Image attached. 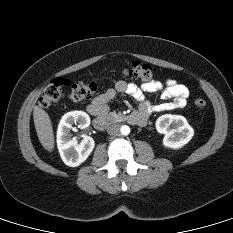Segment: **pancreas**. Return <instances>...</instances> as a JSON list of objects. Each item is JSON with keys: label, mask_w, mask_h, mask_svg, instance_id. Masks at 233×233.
Instances as JSON below:
<instances>
[{"label": "pancreas", "mask_w": 233, "mask_h": 233, "mask_svg": "<svg viewBox=\"0 0 233 233\" xmlns=\"http://www.w3.org/2000/svg\"><path fill=\"white\" fill-rule=\"evenodd\" d=\"M111 116H113L114 119H116V120H120L122 118L121 114H116L114 112L111 113Z\"/></svg>", "instance_id": "1"}]
</instances>
